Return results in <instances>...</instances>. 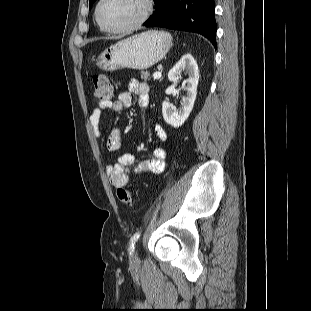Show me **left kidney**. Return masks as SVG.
<instances>
[{
    "instance_id": "5707ae66",
    "label": "left kidney",
    "mask_w": 311,
    "mask_h": 311,
    "mask_svg": "<svg viewBox=\"0 0 311 311\" xmlns=\"http://www.w3.org/2000/svg\"><path fill=\"white\" fill-rule=\"evenodd\" d=\"M185 72L188 74L186 96L183 97L182 106L176 110V108L168 101H164L162 104V114L165 122L174 128H177L184 124L189 117L197 95V86L199 80L198 65L191 54H185L181 59L173 66L168 73V79L171 82H177L181 78V74Z\"/></svg>"
}]
</instances>
